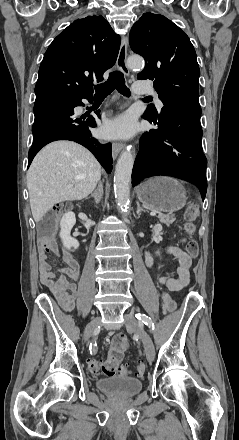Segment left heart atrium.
Segmentation results:
<instances>
[{
  "label": "left heart atrium",
  "mask_w": 239,
  "mask_h": 440,
  "mask_svg": "<svg viewBox=\"0 0 239 440\" xmlns=\"http://www.w3.org/2000/svg\"><path fill=\"white\" fill-rule=\"evenodd\" d=\"M136 122L130 114H122L103 126V132L107 137H130L135 133Z\"/></svg>",
  "instance_id": "1"
}]
</instances>
